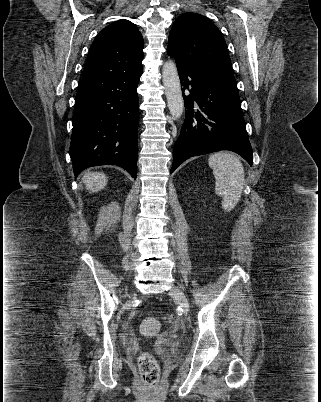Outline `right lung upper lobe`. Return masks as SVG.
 I'll use <instances>...</instances> for the list:
<instances>
[{
	"label": "right lung upper lobe",
	"mask_w": 321,
	"mask_h": 402,
	"mask_svg": "<svg viewBox=\"0 0 321 402\" xmlns=\"http://www.w3.org/2000/svg\"><path fill=\"white\" fill-rule=\"evenodd\" d=\"M143 37L136 25L118 20L105 27L95 38L82 77L142 70Z\"/></svg>",
	"instance_id": "1"
}]
</instances>
